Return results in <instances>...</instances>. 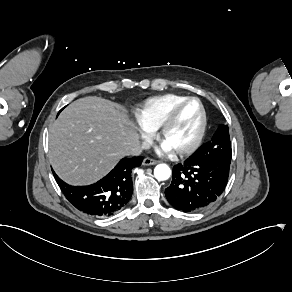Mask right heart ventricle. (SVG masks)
<instances>
[{
  "instance_id": "e07e8e85",
  "label": "right heart ventricle",
  "mask_w": 292,
  "mask_h": 292,
  "mask_svg": "<svg viewBox=\"0 0 292 292\" xmlns=\"http://www.w3.org/2000/svg\"><path fill=\"white\" fill-rule=\"evenodd\" d=\"M187 98L177 93H166L151 97L133 109L137 121L149 128H159L168 111L178 102Z\"/></svg>"
}]
</instances>
